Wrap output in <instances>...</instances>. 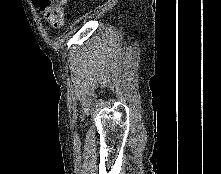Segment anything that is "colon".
<instances>
[{
    "label": "colon",
    "instance_id": "obj_1",
    "mask_svg": "<svg viewBox=\"0 0 221 174\" xmlns=\"http://www.w3.org/2000/svg\"><path fill=\"white\" fill-rule=\"evenodd\" d=\"M48 23L60 27L64 23L63 7L68 0H34Z\"/></svg>",
    "mask_w": 221,
    "mask_h": 174
}]
</instances>
